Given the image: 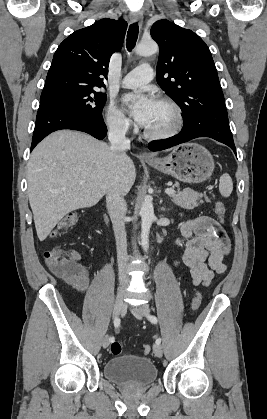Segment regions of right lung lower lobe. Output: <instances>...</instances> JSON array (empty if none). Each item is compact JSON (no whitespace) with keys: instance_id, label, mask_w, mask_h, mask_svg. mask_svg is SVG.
<instances>
[{"instance_id":"obj_1","label":"right lung lower lobe","mask_w":267,"mask_h":419,"mask_svg":"<svg viewBox=\"0 0 267 419\" xmlns=\"http://www.w3.org/2000/svg\"><path fill=\"white\" fill-rule=\"evenodd\" d=\"M61 129L86 132L100 140L107 134L103 119H87L64 106L50 101H42L37 112L31 151L48 134Z\"/></svg>"}]
</instances>
